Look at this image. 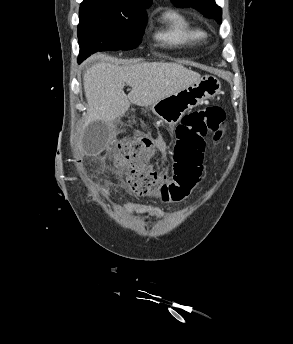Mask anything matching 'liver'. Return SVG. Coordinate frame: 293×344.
I'll use <instances>...</instances> for the list:
<instances>
[{
    "label": "liver",
    "mask_w": 293,
    "mask_h": 344,
    "mask_svg": "<svg viewBox=\"0 0 293 344\" xmlns=\"http://www.w3.org/2000/svg\"><path fill=\"white\" fill-rule=\"evenodd\" d=\"M200 74L175 63H138L128 66L98 63L83 75L88 123L110 124L133 103L150 106L199 81ZM125 84L132 90L123 91Z\"/></svg>",
    "instance_id": "liver-1"
}]
</instances>
